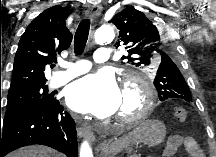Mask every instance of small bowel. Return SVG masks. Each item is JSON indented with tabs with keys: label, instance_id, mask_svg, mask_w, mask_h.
Instances as JSON below:
<instances>
[{
	"label": "small bowel",
	"instance_id": "c3829d8e",
	"mask_svg": "<svg viewBox=\"0 0 216 157\" xmlns=\"http://www.w3.org/2000/svg\"><path fill=\"white\" fill-rule=\"evenodd\" d=\"M183 147L192 157H203V151L192 136L173 135L169 138L162 155L172 157L177 149Z\"/></svg>",
	"mask_w": 216,
	"mask_h": 157
}]
</instances>
